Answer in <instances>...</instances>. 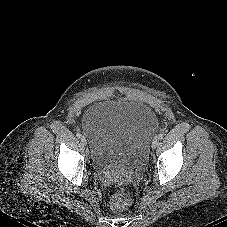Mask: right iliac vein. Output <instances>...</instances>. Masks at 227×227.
<instances>
[{"label":"right iliac vein","instance_id":"1","mask_svg":"<svg viewBox=\"0 0 227 227\" xmlns=\"http://www.w3.org/2000/svg\"><path fill=\"white\" fill-rule=\"evenodd\" d=\"M81 142L83 145H86L87 144V139L85 137H82L81 138Z\"/></svg>","mask_w":227,"mask_h":227}]
</instances>
